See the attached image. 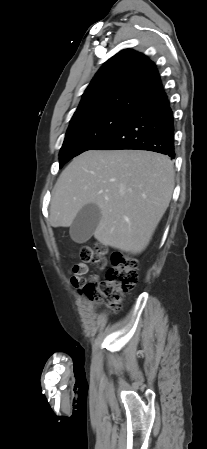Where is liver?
<instances>
[{
    "instance_id": "6515ba94",
    "label": "liver",
    "mask_w": 207,
    "mask_h": 449,
    "mask_svg": "<svg viewBox=\"0 0 207 449\" xmlns=\"http://www.w3.org/2000/svg\"><path fill=\"white\" fill-rule=\"evenodd\" d=\"M170 158L150 151L89 150L60 174L49 222L69 227L80 209L95 204L101 219L94 237L105 246L140 254L169 206L174 189Z\"/></svg>"
}]
</instances>
